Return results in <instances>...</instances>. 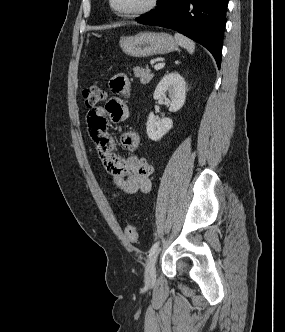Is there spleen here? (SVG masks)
<instances>
[{
    "label": "spleen",
    "instance_id": "1",
    "mask_svg": "<svg viewBox=\"0 0 285 332\" xmlns=\"http://www.w3.org/2000/svg\"><path fill=\"white\" fill-rule=\"evenodd\" d=\"M176 42L183 48H185L190 54H192L195 50V43L189 38L185 37L180 33H175Z\"/></svg>",
    "mask_w": 285,
    "mask_h": 332
}]
</instances>
